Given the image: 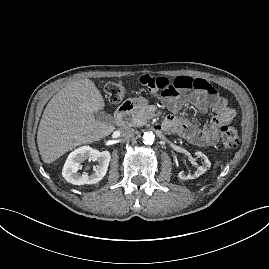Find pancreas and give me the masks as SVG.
<instances>
[{
    "instance_id": "cf45deb5",
    "label": "pancreas",
    "mask_w": 269,
    "mask_h": 269,
    "mask_svg": "<svg viewBox=\"0 0 269 269\" xmlns=\"http://www.w3.org/2000/svg\"><path fill=\"white\" fill-rule=\"evenodd\" d=\"M155 116V111L150 106H144L129 119V125L139 127L146 124Z\"/></svg>"
}]
</instances>
